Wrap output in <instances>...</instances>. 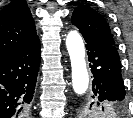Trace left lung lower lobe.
<instances>
[{"label": "left lung lower lobe", "instance_id": "0a47b994", "mask_svg": "<svg viewBox=\"0 0 133 118\" xmlns=\"http://www.w3.org/2000/svg\"><path fill=\"white\" fill-rule=\"evenodd\" d=\"M81 32V31H80ZM90 68L93 73V97L100 102H125V88L121 63L114 46L102 43L84 34ZM115 110L114 112H116Z\"/></svg>", "mask_w": 133, "mask_h": 118}]
</instances>
